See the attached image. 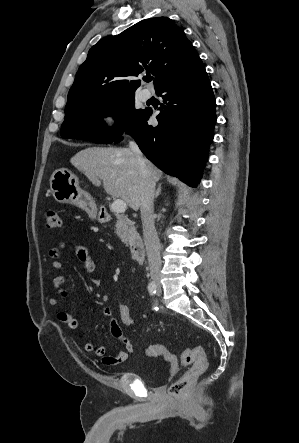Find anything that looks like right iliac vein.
Returning a JSON list of instances; mask_svg holds the SVG:
<instances>
[{"label": "right iliac vein", "instance_id": "right-iliac-vein-1", "mask_svg": "<svg viewBox=\"0 0 299 443\" xmlns=\"http://www.w3.org/2000/svg\"><path fill=\"white\" fill-rule=\"evenodd\" d=\"M153 280L158 283L159 282V277L158 276H154Z\"/></svg>", "mask_w": 299, "mask_h": 443}]
</instances>
